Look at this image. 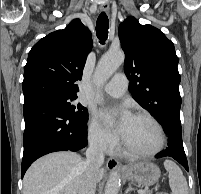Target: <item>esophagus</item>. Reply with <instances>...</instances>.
I'll return each mask as SVG.
<instances>
[{
  "label": "esophagus",
  "mask_w": 201,
  "mask_h": 194,
  "mask_svg": "<svg viewBox=\"0 0 201 194\" xmlns=\"http://www.w3.org/2000/svg\"><path fill=\"white\" fill-rule=\"evenodd\" d=\"M108 10H109V5L107 3H104L100 6L101 12H108ZM106 166L108 169L114 170V169L120 167V163L118 162V160H116L114 158H108L107 162H106Z\"/></svg>",
  "instance_id": "obj_1"
}]
</instances>
